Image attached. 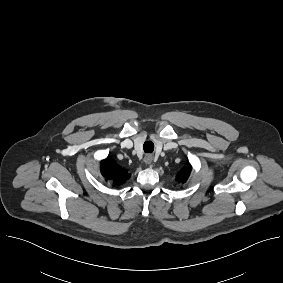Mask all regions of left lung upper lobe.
<instances>
[{
    "label": "left lung upper lobe",
    "mask_w": 283,
    "mask_h": 283,
    "mask_svg": "<svg viewBox=\"0 0 283 283\" xmlns=\"http://www.w3.org/2000/svg\"><path fill=\"white\" fill-rule=\"evenodd\" d=\"M191 172V165L186 164L180 172L177 173L176 175V180L178 182H186L187 178L189 177Z\"/></svg>",
    "instance_id": "1"
}]
</instances>
